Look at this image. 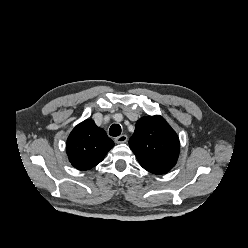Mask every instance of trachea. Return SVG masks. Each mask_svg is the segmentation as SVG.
I'll use <instances>...</instances> for the list:
<instances>
[{"label": "trachea", "instance_id": "obj_1", "mask_svg": "<svg viewBox=\"0 0 248 248\" xmlns=\"http://www.w3.org/2000/svg\"><path fill=\"white\" fill-rule=\"evenodd\" d=\"M109 134L114 137L119 136L121 134V126L119 124L111 125Z\"/></svg>", "mask_w": 248, "mask_h": 248}]
</instances>
